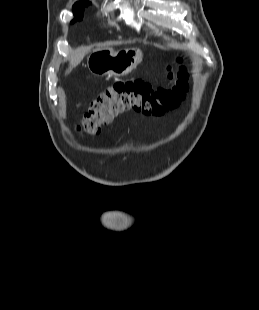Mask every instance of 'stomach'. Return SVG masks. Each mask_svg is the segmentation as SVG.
Returning <instances> with one entry per match:
<instances>
[{
	"mask_svg": "<svg viewBox=\"0 0 259 310\" xmlns=\"http://www.w3.org/2000/svg\"><path fill=\"white\" fill-rule=\"evenodd\" d=\"M142 51L138 48L121 49L98 48L87 59L89 70L96 75L116 77L129 74L142 61Z\"/></svg>",
	"mask_w": 259,
	"mask_h": 310,
	"instance_id": "stomach-1",
	"label": "stomach"
}]
</instances>
